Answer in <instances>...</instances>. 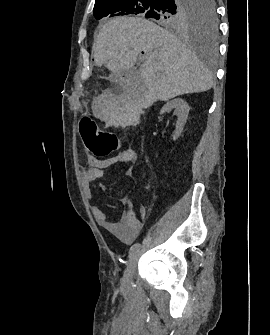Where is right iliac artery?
Listing matches in <instances>:
<instances>
[{"mask_svg": "<svg viewBox=\"0 0 270 335\" xmlns=\"http://www.w3.org/2000/svg\"><path fill=\"white\" fill-rule=\"evenodd\" d=\"M139 248H140L139 243H135L134 245H132L129 250V256H132Z\"/></svg>", "mask_w": 270, "mask_h": 335, "instance_id": "obj_1", "label": "right iliac artery"}]
</instances>
